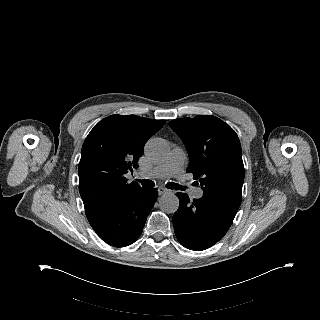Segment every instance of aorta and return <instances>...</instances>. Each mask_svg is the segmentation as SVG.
<instances>
[{
    "mask_svg": "<svg viewBox=\"0 0 320 320\" xmlns=\"http://www.w3.org/2000/svg\"><path fill=\"white\" fill-rule=\"evenodd\" d=\"M169 153L170 147L163 139H150L145 146L147 158L154 162L165 160ZM159 205L162 211L166 213H175L179 208V199L175 194L167 193L160 197Z\"/></svg>",
    "mask_w": 320,
    "mask_h": 320,
    "instance_id": "aorta-1",
    "label": "aorta"
}]
</instances>
